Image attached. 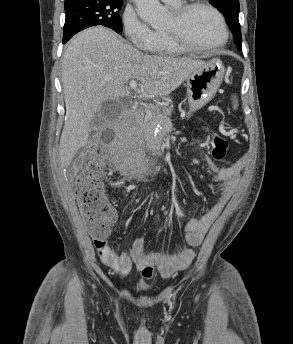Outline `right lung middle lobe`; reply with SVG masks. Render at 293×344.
Listing matches in <instances>:
<instances>
[{"instance_id": "obj_1", "label": "right lung middle lobe", "mask_w": 293, "mask_h": 344, "mask_svg": "<svg viewBox=\"0 0 293 344\" xmlns=\"http://www.w3.org/2000/svg\"><path fill=\"white\" fill-rule=\"evenodd\" d=\"M123 0H78L65 3L66 20L63 43L77 32L97 25H103L116 31H122L119 10Z\"/></svg>"}]
</instances>
